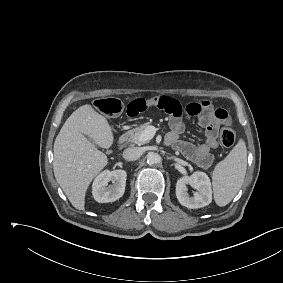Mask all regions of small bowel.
Instances as JSON below:
<instances>
[{
	"label": "small bowel",
	"instance_id": "1",
	"mask_svg": "<svg viewBox=\"0 0 283 283\" xmlns=\"http://www.w3.org/2000/svg\"><path fill=\"white\" fill-rule=\"evenodd\" d=\"M150 107L162 109L170 116L171 131L166 137L167 143L201 168L212 165L214 156L211 151L219 146V127L231 123L230 116L225 110L213 109L208 100H195L182 107L176 99L158 95L131 101L127 106V115L137 117ZM183 115L198 117L199 124L204 129V142L200 145L182 139L185 130Z\"/></svg>",
	"mask_w": 283,
	"mask_h": 283
}]
</instances>
